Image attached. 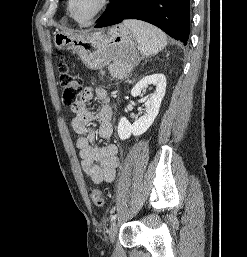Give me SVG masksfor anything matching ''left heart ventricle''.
I'll return each instance as SVG.
<instances>
[{"label":"left heart ventricle","mask_w":247,"mask_h":257,"mask_svg":"<svg viewBox=\"0 0 247 257\" xmlns=\"http://www.w3.org/2000/svg\"><path fill=\"white\" fill-rule=\"evenodd\" d=\"M100 0H73V14L81 21H86L98 8Z\"/></svg>","instance_id":"left-heart-ventricle-1"}]
</instances>
